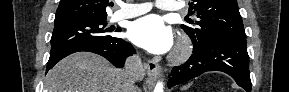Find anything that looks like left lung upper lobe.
I'll list each match as a JSON object with an SVG mask.
<instances>
[{
  "label": "left lung upper lobe",
  "mask_w": 289,
  "mask_h": 92,
  "mask_svg": "<svg viewBox=\"0 0 289 92\" xmlns=\"http://www.w3.org/2000/svg\"><path fill=\"white\" fill-rule=\"evenodd\" d=\"M191 13L197 14L199 26L181 25L188 34L194 47H202L218 36L245 37L244 26L236 0H192Z\"/></svg>",
  "instance_id": "obj_1"
}]
</instances>
